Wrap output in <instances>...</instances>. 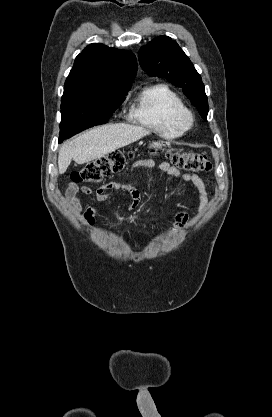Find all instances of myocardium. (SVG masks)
<instances>
[{
	"label": "myocardium",
	"mask_w": 272,
	"mask_h": 417,
	"mask_svg": "<svg viewBox=\"0 0 272 417\" xmlns=\"http://www.w3.org/2000/svg\"><path fill=\"white\" fill-rule=\"evenodd\" d=\"M194 114L186 109L181 115H180V123L185 129H189L194 124Z\"/></svg>",
	"instance_id": "obj_1"
}]
</instances>
